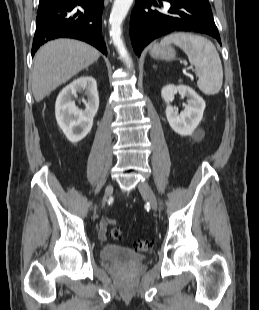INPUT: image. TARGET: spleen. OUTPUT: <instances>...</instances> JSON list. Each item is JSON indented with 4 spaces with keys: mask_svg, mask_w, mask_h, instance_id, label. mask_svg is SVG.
Instances as JSON below:
<instances>
[{
    "mask_svg": "<svg viewBox=\"0 0 259 310\" xmlns=\"http://www.w3.org/2000/svg\"><path fill=\"white\" fill-rule=\"evenodd\" d=\"M174 43L188 56L192 65L197 69V86L206 95L219 93L223 83V68L214 44L200 35L177 32L161 40L160 45Z\"/></svg>",
    "mask_w": 259,
    "mask_h": 310,
    "instance_id": "3e777b00",
    "label": "spleen"
}]
</instances>
